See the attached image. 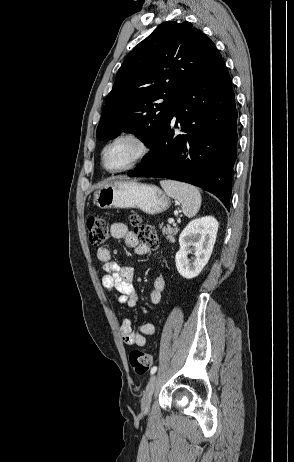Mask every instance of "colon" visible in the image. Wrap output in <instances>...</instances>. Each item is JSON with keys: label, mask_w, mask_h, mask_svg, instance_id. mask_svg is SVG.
Wrapping results in <instances>:
<instances>
[{"label": "colon", "mask_w": 294, "mask_h": 462, "mask_svg": "<svg viewBox=\"0 0 294 462\" xmlns=\"http://www.w3.org/2000/svg\"><path fill=\"white\" fill-rule=\"evenodd\" d=\"M131 223L138 241L149 249L156 250L159 241L154 227L148 223H144L139 216H133ZM87 230L89 240L93 245H101L108 238L109 227L103 218H88ZM129 362L135 373L143 375L150 369L152 357L140 349H133L129 353Z\"/></svg>", "instance_id": "colon-1"}]
</instances>
